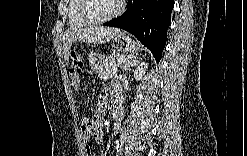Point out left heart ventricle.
I'll return each instance as SVG.
<instances>
[{"label":"left heart ventricle","mask_w":247,"mask_h":156,"mask_svg":"<svg viewBox=\"0 0 247 156\" xmlns=\"http://www.w3.org/2000/svg\"><path fill=\"white\" fill-rule=\"evenodd\" d=\"M117 4L118 1L113 0L91 1L89 3L88 13L93 17H104L111 14Z\"/></svg>","instance_id":"b2bd125f"}]
</instances>
